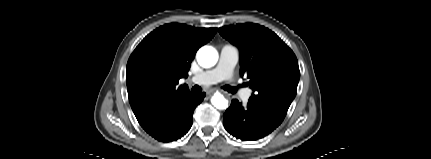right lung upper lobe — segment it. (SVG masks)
I'll return each instance as SVG.
<instances>
[{"label": "right lung upper lobe", "mask_w": 431, "mask_h": 159, "mask_svg": "<svg viewBox=\"0 0 431 159\" xmlns=\"http://www.w3.org/2000/svg\"><path fill=\"white\" fill-rule=\"evenodd\" d=\"M217 28L170 23L148 34L131 54L126 67L128 97L139 123L189 92L178 85L188 76L197 50Z\"/></svg>", "instance_id": "right-lung-upper-lobe-1"}]
</instances>
